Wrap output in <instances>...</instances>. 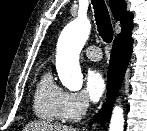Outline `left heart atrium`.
<instances>
[{
    "instance_id": "39dd6f15",
    "label": "left heart atrium",
    "mask_w": 147,
    "mask_h": 131,
    "mask_svg": "<svg viewBox=\"0 0 147 131\" xmlns=\"http://www.w3.org/2000/svg\"><path fill=\"white\" fill-rule=\"evenodd\" d=\"M87 92L93 101H98L104 94L106 89V81L98 70L89 72L86 80Z\"/></svg>"
}]
</instances>
